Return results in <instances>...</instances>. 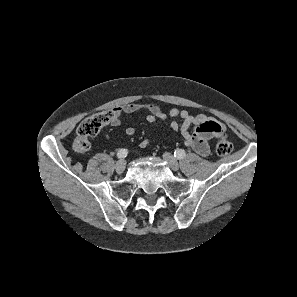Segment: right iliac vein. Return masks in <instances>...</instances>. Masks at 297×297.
I'll use <instances>...</instances> for the list:
<instances>
[{"mask_svg": "<svg viewBox=\"0 0 297 297\" xmlns=\"http://www.w3.org/2000/svg\"><path fill=\"white\" fill-rule=\"evenodd\" d=\"M126 167V162L124 160H119L115 164V170L117 173H122L125 170Z\"/></svg>", "mask_w": 297, "mask_h": 297, "instance_id": "right-iliac-vein-1", "label": "right iliac vein"}]
</instances>
